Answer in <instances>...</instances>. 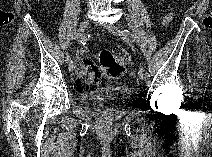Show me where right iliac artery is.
I'll list each match as a JSON object with an SVG mask.
<instances>
[{"mask_svg":"<svg viewBox=\"0 0 212 157\" xmlns=\"http://www.w3.org/2000/svg\"><path fill=\"white\" fill-rule=\"evenodd\" d=\"M76 38H77V36L76 35H74V36H72V40H76ZM66 61H67V63L68 64H70L71 62H72V60H71V57H70V55L68 54V53H66Z\"/></svg>","mask_w":212,"mask_h":157,"instance_id":"82829eb1","label":"right iliac artery"}]
</instances>
